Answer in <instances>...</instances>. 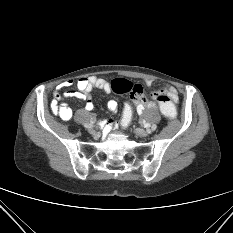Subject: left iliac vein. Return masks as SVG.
<instances>
[{"label":"left iliac vein","mask_w":233,"mask_h":233,"mask_svg":"<svg viewBox=\"0 0 233 233\" xmlns=\"http://www.w3.org/2000/svg\"><path fill=\"white\" fill-rule=\"evenodd\" d=\"M135 133L140 137H146L148 135L149 131L144 130V129H136Z\"/></svg>","instance_id":"left-iliac-vein-1"}]
</instances>
